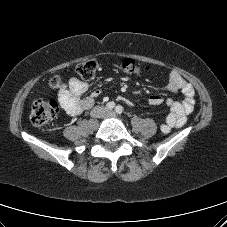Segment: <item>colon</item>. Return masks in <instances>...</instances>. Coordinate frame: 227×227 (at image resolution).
I'll return each instance as SVG.
<instances>
[{"mask_svg":"<svg viewBox=\"0 0 227 227\" xmlns=\"http://www.w3.org/2000/svg\"><path fill=\"white\" fill-rule=\"evenodd\" d=\"M119 69L126 75H141L147 73L149 68L141 66L132 59H124L119 63ZM97 71V63L88 60L78 65L76 72L84 80H91ZM53 89L65 87L60 77H54L50 81ZM59 112L58 103L43 97L36 98L31 105L30 120L33 125L42 127L53 121Z\"/></svg>","mask_w":227,"mask_h":227,"instance_id":"colon-1","label":"colon"}]
</instances>
